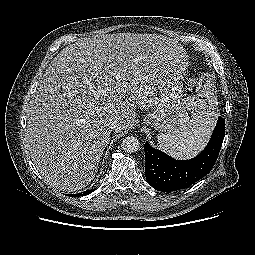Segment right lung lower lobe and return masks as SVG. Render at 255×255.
<instances>
[{
	"mask_svg": "<svg viewBox=\"0 0 255 255\" xmlns=\"http://www.w3.org/2000/svg\"><path fill=\"white\" fill-rule=\"evenodd\" d=\"M94 190H87V191H84V192H81L79 194H72L71 196H84V195H87V194H90L91 192H93Z\"/></svg>",
	"mask_w": 255,
	"mask_h": 255,
	"instance_id": "right-lung-lower-lobe-1",
	"label": "right lung lower lobe"
}]
</instances>
